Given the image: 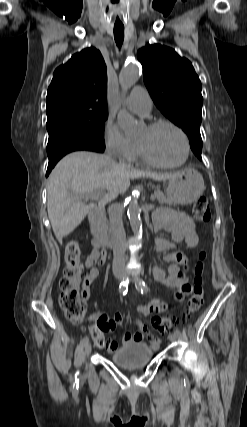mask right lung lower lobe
Segmentation results:
<instances>
[{
	"label": "right lung lower lobe",
	"instance_id": "1",
	"mask_svg": "<svg viewBox=\"0 0 247 427\" xmlns=\"http://www.w3.org/2000/svg\"><path fill=\"white\" fill-rule=\"evenodd\" d=\"M105 147H101L90 140L64 132H55L49 134L47 144V154L49 158L46 176L49 175L55 164L67 153L88 150L95 152H104Z\"/></svg>",
	"mask_w": 247,
	"mask_h": 427
}]
</instances>
